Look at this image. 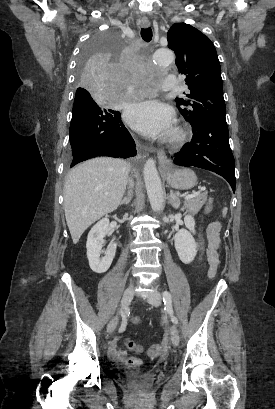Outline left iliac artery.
<instances>
[{"label":"left iliac artery","mask_w":275,"mask_h":409,"mask_svg":"<svg viewBox=\"0 0 275 409\" xmlns=\"http://www.w3.org/2000/svg\"><path fill=\"white\" fill-rule=\"evenodd\" d=\"M162 295H163V302H164V305H165V311H166L167 313H169V315H170V317H171V321H172L174 324H177V323H178V319H177V317L174 315V312H173L171 294H170L168 291H164Z\"/></svg>","instance_id":"obj_1"}]
</instances>
